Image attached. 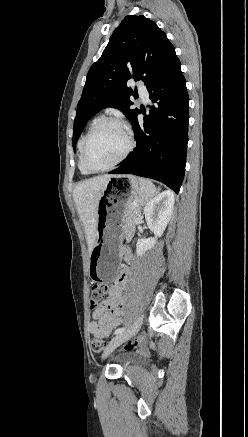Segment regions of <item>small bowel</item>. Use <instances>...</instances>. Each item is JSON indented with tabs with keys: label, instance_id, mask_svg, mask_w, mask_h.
I'll use <instances>...</instances> for the list:
<instances>
[{
	"label": "small bowel",
	"instance_id": "c3829d8e",
	"mask_svg": "<svg viewBox=\"0 0 248 437\" xmlns=\"http://www.w3.org/2000/svg\"><path fill=\"white\" fill-rule=\"evenodd\" d=\"M125 260H130L131 252L125 249L122 253ZM129 270L123 268L119 279L110 287L107 298L93 308V321L89 331L98 338H108L112 330L121 324L124 311L123 292L127 284Z\"/></svg>",
	"mask_w": 248,
	"mask_h": 437
}]
</instances>
